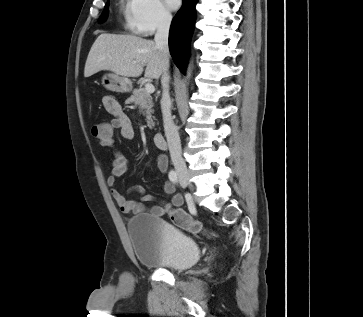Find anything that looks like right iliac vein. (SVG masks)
<instances>
[{"mask_svg": "<svg viewBox=\"0 0 363 317\" xmlns=\"http://www.w3.org/2000/svg\"><path fill=\"white\" fill-rule=\"evenodd\" d=\"M180 180L182 182H184L186 185H188L192 189L193 186H192V184L190 182V178H189V176L187 174H181L180 175Z\"/></svg>", "mask_w": 363, "mask_h": 317, "instance_id": "63e3f726", "label": "right iliac vein"}]
</instances>
